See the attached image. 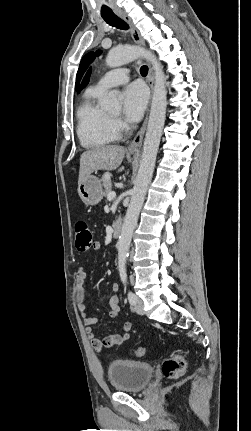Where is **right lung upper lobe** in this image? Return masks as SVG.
I'll return each mask as SVG.
<instances>
[{"mask_svg": "<svg viewBox=\"0 0 251 431\" xmlns=\"http://www.w3.org/2000/svg\"><path fill=\"white\" fill-rule=\"evenodd\" d=\"M90 74H91V68L89 69V71L85 75V77H84V79L82 81V84H81L78 92H80L82 90V88L88 84L89 78H90Z\"/></svg>", "mask_w": 251, "mask_h": 431, "instance_id": "1", "label": "right lung upper lobe"}]
</instances>
